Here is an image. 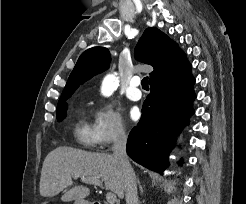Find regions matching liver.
Returning a JSON list of instances; mask_svg holds the SVG:
<instances>
[{
	"label": "liver",
	"mask_w": 246,
	"mask_h": 204,
	"mask_svg": "<svg viewBox=\"0 0 246 204\" xmlns=\"http://www.w3.org/2000/svg\"><path fill=\"white\" fill-rule=\"evenodd\" d=\"M102 179L105 187L113 191L119 198L124 197V175L119 163L113 155L91 153L70 147H57L44 159L40 194L51 197L73 185L72 177ZM90 195V189L83 185H75L64 193V202L81 201Z\"/></svg>",
	"instance_id": "liver-1"
}]
</instances>
